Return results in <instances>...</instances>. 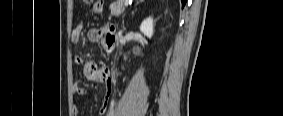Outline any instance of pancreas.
Masks as SVG:
<instances>
[{
	"mask_svg": "<svg viewBox=\"0 0 283 116\" xmlns=\"http://www.w3.org/2000/svg\"><path fill=\"white\" fill-rule=\"evenodd\" d=\"M123 2L124 1L122 0H118L110 5L111 15L116 16V17L121 15L122 8H123Z\"/></svg>",
	"mask_w": 283,
	"mask_h": 116,
	"instance_id": "1",
	"label": "pancreas"
}]
</instances>
